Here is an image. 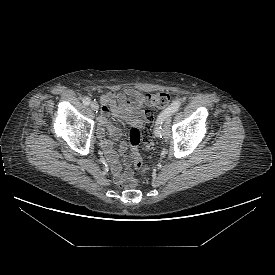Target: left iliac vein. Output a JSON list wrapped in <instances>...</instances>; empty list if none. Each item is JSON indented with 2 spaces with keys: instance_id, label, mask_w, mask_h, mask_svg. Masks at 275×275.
I'll list each match as a JSON object with an SVG mask.
<instances>
[{
  "instance_id": "4c4485c4",
  "label": "left iliac vein",
  "mask_w": 275,
  "mask_h": 275,
  "mask_svg": "<svg viewBox=\"0 0 275 275\" xmlns=\"http://www.w3.org/2000/svg\"><path fill=\"white\" fill-rule=\"evenodd\" d=\"M170 134H171L170 120L169 118H167L163 126L162 136L163 138L167 139L170 137Z\"/></svg>"
}]
</instances>
